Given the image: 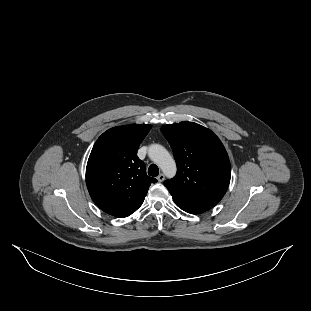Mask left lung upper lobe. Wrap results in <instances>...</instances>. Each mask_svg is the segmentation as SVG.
Masks as SVG:
<instances>
[{
	"label": "left lung upper lobe",
	"instance_id": "1",
	"mask_svg": "<svg viewBox=\"0 0 311 311\" xmlns=\"http://www.w3.org/2000/svg\"><path fill=\"white\" fill-rule=\"evenodd\" d=\"M177 164L174 178L164 181L171 195L214 207L226 193L231 167L219 138L209 129L184 121L161 128Z\"/></svg>",
	"mask_w": 311,
	"mask_h": 311
}]
</instances>
